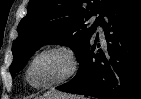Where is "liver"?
I'll list each match as a JSON object with an SVG mask.
<instances>
[{"label":"liver","instance_id":"obj_1","mask_svg":"<svg viewBox=\"0 0 141 99\" xmlns=\"http://www.w3.org/2000/svg\"><path fill=\"white\" fill-rule=\"evenodd\" d=\"M44 96H49L50 99H72L68 94H64L57 91H51Z\"/></svg>","mask_w":141,"mask_h":99}]
</instances>
